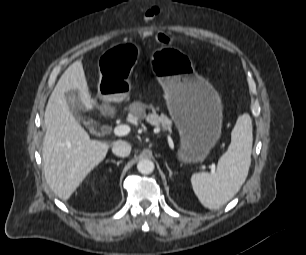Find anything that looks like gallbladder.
<instances>
[{"mask_svg": "<svg viewBox=\"0 0 306 255\" xmlns=\"http://www.w3.org/2000/svg\"><path fill=\"white\" fill-rule=\"evenodd\" d=\"M66 101L69 106L71 113L73 114L74 118L80 120V111L84 109L82 103L80 102L79 98L72 92L66 93Z\"/></svg>", "mask_w": 306, "mask_h": 255, "instance_id": "bac80fb5", "label": "gallbladder"}]
</instances>
